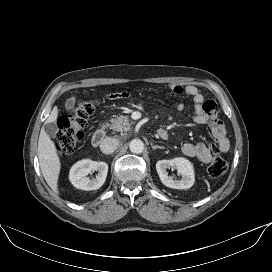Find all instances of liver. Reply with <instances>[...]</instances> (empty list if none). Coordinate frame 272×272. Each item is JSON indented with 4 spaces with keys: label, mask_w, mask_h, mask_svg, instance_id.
<instances>
[{
    "label": "liver",
    "mask_w": 272,
    "mask_h": 272,
    "mask_svg": "<svg viewBox=\"0 0 272 272\" xmlns=\"http://www.w3.org/2000/svg\"><path fill=\"white\" fill-rule=\"evenodd\" d=\"M57 117L58 107L54 106L46 123L55 122ZM38 158L44 179L50 188L58 194V179L61 169L60 158L57 154L55 143L50 139L44 127H42L39 135Z\"/></svg>",
    "instance_id": "liver-1"
}]
</instances>
